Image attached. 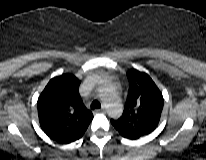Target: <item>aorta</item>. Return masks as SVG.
I'll return each instance as SVG.
<instances>
[{
  "mask_svg": "<svg viewBox=\"0 0 206 160\" xmlns=\"http://www.w3.org/2000/svg\"><path fill=\"white\" fill-rule=\"evenodd\" d=\"M104 103L111 117L118 118L122 115L123 105L115 94L112 97L105 98Z\"/></svg>",
  "mask_w": 206,
  "mask_h": 160,
  "instance_id": "1",
  "label": "aorta"
}]
</instances>
